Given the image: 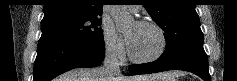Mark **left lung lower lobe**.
Here are the masks:
<instances>
[{
    "label": "left lung lower lobe",
    "mask_w": 237,
    "mask_h": 81,
    "mask_svg": "<svg viewBox=\"0 0 237 81\" xmlns=\"http://www.w3.org/2000/svg\"><path fill=\"white\" fill-rule=\"evenodd\" d=\"M132 74H147L167 70H184L192 72L204 81H211L208 60L203 43H196L184 48L172 58L161 56L154 62L129 66Z\"/></svg>",
    "instance_id": "left-lung-lower-lobe-1"
}]
</instances>
